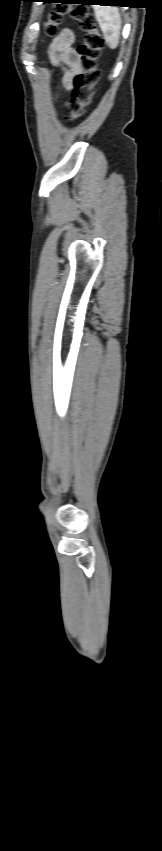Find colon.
<instances>
[{
  "label": "colon",
  "instance_id": "1",
  "mask_svg": "<svg viewBox=\"0 0 162 851\" xmlns=\"http://www.w3.org/2000/svg\"><path fill=\"white\" fill-rule=\"evenodd\" d=\"M65 15L77 22L83 34L82 41L77 46L81 72L74 79V87L68 105L69 116L66 117V121L71 122L83 116L86 107L92 101L94 87L100 77L97 60L104 48L105 41L98 29L95 17L85 7L79 5L55 6L48 13L44 25L47 36L56 35Z\"/></svg>",
  "mask_w": 162,
  "mask_h": 851
}]
</instances>
